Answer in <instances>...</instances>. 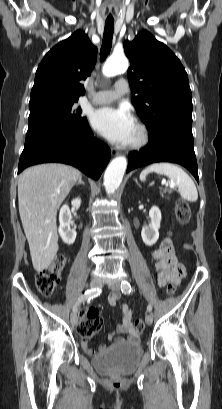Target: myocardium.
Instances as JSON below:
<instances>
[{
  "instance_id": "f54148a6",
  "label": "myocardium",
  "mask_w": 222,
  "mask_h": 409,
  "mask_svg": "<svg viewBox=\"0 0 222 409\" xmlns=\"http://www.w3.org/2000/svg\"><path fill=\"white\" fill-rule=\"evenodd\" d=\"M137 137L128 144L130 150H140L147 146L150 141V132L145 124L142 122L136 123Z\"/></svg>"
}]
</instances>
